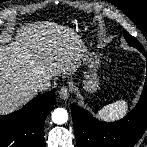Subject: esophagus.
<instances>
[{"instance_id":"1","label":"esophagus","mask_w":147,"mask_h":147,"mask_svg":"<svg viewBox=\"0 0 147 147\" xmlns=\"http://www.w3.org/2000/svg\"><path fill=\"white\" fill-rule=\"evenodd\" d=\"M70 88L63 86L59 91V97L63 100H67L69 98Z\"/></svg>"}]
</instances>
